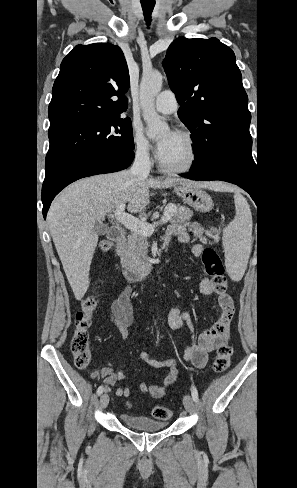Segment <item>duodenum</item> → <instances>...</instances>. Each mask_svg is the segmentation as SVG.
<instances>
[{"label":"duodenum","instance_id":"1","mask_svg":"<svg viewBox=\"0 0 297 488\" xmlns=\"http://www.w3.org/2000/svg\"><path fill=\"white\" fill-rule=\"evenodd\" d=\"M125 230L114 225L110 228L108 238L116 244L117 247L122 248L125 240ZM122 273L125 279L129 282H138L145 279L153 270V264L151 262L145 263L141 266H132L126 260L121 265Z\"/></svg>","mask_w":297,"mask_h":488}]
</instances>
